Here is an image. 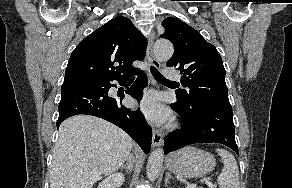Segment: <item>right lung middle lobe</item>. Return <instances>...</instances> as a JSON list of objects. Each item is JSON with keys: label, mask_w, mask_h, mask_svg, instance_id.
<instances>
[{"label": "right lung middle lobe", "mask_w": 292, "mask_h": 188, "mask_svg": "<svg viewBox=\"0 0 292 188\" xmlns=\"http://www.w3.org/2000/svg\"><path fill=\"white\" fill-rule=\"evenodd\" d=\"M81 80H84V81H90V82L95 81V79H81Z\"/></svg>", "instance_id": "1"}]
</instances>
